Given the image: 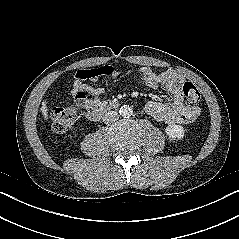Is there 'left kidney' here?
<instances>
[{
	"label": "left kidney",
	"mask_w": 239,
	"mask_h": 239,
	"mask_svg": "<svg viewBox=\"0 0 239 239\" xmlns=\"http://www.w3.org/2000/svg\"><path fill=\"white\" fill-rule=\"evenodd\" d=\"M166 134L173 139H181L184 137V128L180 125L172 124L166 127Z\"/></svg>",
	"instance_id": "1"
}]
</instances>
